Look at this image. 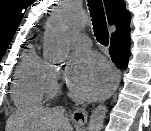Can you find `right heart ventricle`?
I'll return each mask as SVG.
<instances>
[{
    "instance_id": "e07e8e85",
    "label": "right heart ventricle",
    "mask_w": 151,
    "mask_h": 131,
    "mask_svg": "<svg viewBox=\"0 0 151 131\" xmlns=\"http://www.w3.org/2000/svg\"><path fill=\"white\" fill-rule=\"evenodd\" d=\"M52 68L35 49L28 48L22 55L15 72L12 98L19 107L41 105L52 81Z\"/></svg>"
}]
</instances>
